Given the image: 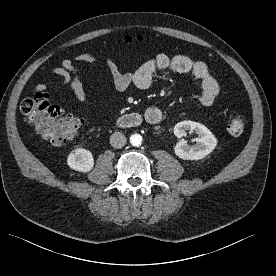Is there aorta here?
<instances>
[{"label": "aorta", "mask_w": 276, "mask_h": 276, "mask_svg": "<svg viewBox=\"0 0 276 276\" xmlns=\"http://www.w3.org/2000/svg\"><path fill=\"white\" fill-rule=\"evenodd\" d=\"M130 143L133 146H139L142 143V136L140 134H133L130 137Z\"/></svg>", "instance_id": "aorta-1"}]
</instances>
